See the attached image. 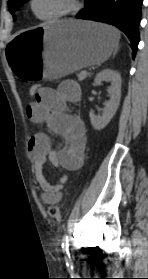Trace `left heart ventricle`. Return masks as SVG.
Segmentation results:
<instances>
[{"instance_id":"obj_1","label":"left heart ventricle","mask_w":148,"mask_h":279,"mask_svg":"<svg viewBox=\"0 0 148 279\" xmlns=\"http://www.w3.org/2000/svg\"><path fill=\"white\" fill-rule=\"evenodd\" d=\"M69 6V0H35L34 9L40 16L59 12Z\"/></svg>"}]
</instances>
